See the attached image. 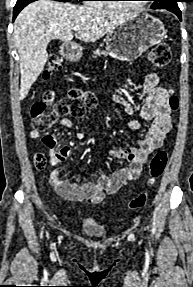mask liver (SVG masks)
<instances>
[{
    "label": "liver",
    "mask_w": 193,
    "mask_h": 287,
    "mask_svg": "<svg viewBox=\"0 0 193 287\" xmlns=\"http://www.w3.org/2000/svg\"><path fill=\"white\" fill-rule=\"evenodd\" d=\"M132 15L52 0H38L25 7L14 22L13 33L20 56V100L27 96L42 73L51 40L69 43L73 39V27L79 26L76 39L96 42Z\"/></svg>",
    "instance_id": "1"
}]
</instances>
